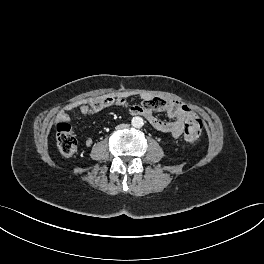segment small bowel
Listing matches in <instances>:
<instances>
[{
    "label": "small bowel",
    "mask_w": 264,
    "mask_h": 264,
    "mask_svg": "<svg viewBox=\"0 0 264 264\" xmlns=\"http://www.w3.org/2000/svg\"><path fill=\"white\" fill-rule=\"evenodd\" d=\"M131 96L138 97L142 103L129 104L127 99ZM113 106L128 108L133 115L142 114L156 130L170 133L174 138H179L182 135L185 121L195 117L194 112L186 104L179 101L156 97L147 92L134 94L130 91H122L71 103L67 105L65 110L58 113L57 118L62 121L68 120L67 111L74 109L79 110L83 115H94ZM154 111L165 112L173 120H161L154 115ZM85 144L90 147L93 140L87 138Z\"/></svg>",
    "instance_id": "obj_1"
}]
</instances>
